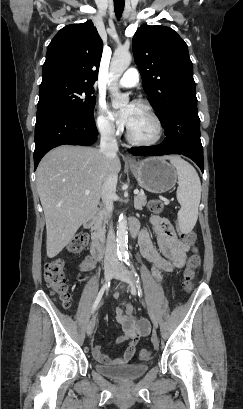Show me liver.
Instances as JSON below:
<instances>
[{
  "label": "liver",
  "instance_id": "6515ba94",
  "mask_svg": "<svg viewBox=\"0 0 243 409\" xmlns=\"http://www.w3.org/2000/svg\"><path fill=\"white\" fill-rule=\"evenodd\" d=\"M120 170L117 156L108 162L93 147L62 145L42 158L36 171V185L46 220L49 258L63 250L97 208L110 171L118 177Z\"/></svg>",
  "mask_w": 243,
  "mask_h": 409
}]
</instances>
